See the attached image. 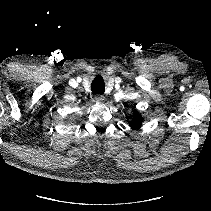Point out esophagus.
I'll return each mask as SVG.
<instances>
[{
  "instance_id": "esophagus-1",
  "label": "esophagus",
  "mask_w": 211,
  "mask_h": 211,
  "mask_svg": "<svg viewBox=\"0 0 211 211\" xmlns=\"http://www.w3.org/2000/svg\"><path fill=\"white\" fill-rule=\"evenodd\" d=\"M96 101L98 102H104L105 101V97L102 95H96L95 96Z\"/></svg>"
}]
</instances>
